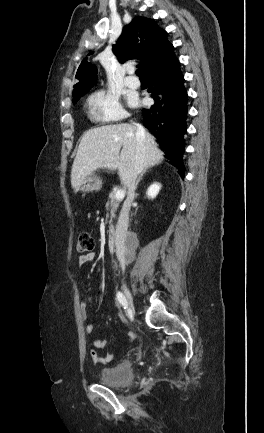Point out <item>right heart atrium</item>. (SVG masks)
<instances>
[{
    "label": "right heart atrium",
    "mask_w": 264,
    "mask_h": 433,
    "mask_svg": "<svg viewBox=\"0 0 264 433\" xmlns=\"http://www.w3.org/2000/svg\"><path fill=\"white\" fill-rule=\"evenodd\" d=\"M87 105L91 117L96 121L109 123L126 118L119 97L110 91H95L88 98Z\"/></svg>",
    "instance_id": "right-heart-atrium-1"
}]
</instances>
